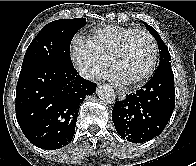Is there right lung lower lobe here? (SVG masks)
I'll return each mask as SVG.
<instances>
[{
  "instance_id": "obj_1",
  "label": "right lung lower lobe",
  "mask_w": 196,
  "mask_h": 166,
  "mask_svg": "<svg viewBox=\"0 0 196 166\" xmlns=\"http://www.w3.org/2000/svg\"><path fill=\"white\" fill-rule=\"evenodd\" d=\"M97 85L73 65L37 60L22 66L16 88V118L35 146L54 150L71 142L80 104Z\"/></svg>"
}]
</instances>
